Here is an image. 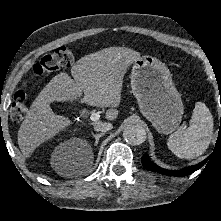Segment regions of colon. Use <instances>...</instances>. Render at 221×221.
<instances>
[{
    "instance_id": "colon-1",
    "label": "colon",
    "mask_w": 221,
    "mask_h": 221,
    "mask_svg": "<svg viewBox=\"0 0 221 221\" xmlns=\"http://www.w3.org/2000/svg\"><path fill=\"white\" fill-rule=\"evenodd\" d=\"M75 62V53L68 47L61 46L53 52L45 55L33 67V76H42L54 73L62 68L70 67ZM29 97L19 90L15 93L10 109L12 120L19 122L27 114Z\"/></svg>"
}]
</instances>
